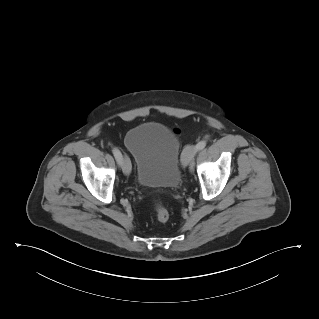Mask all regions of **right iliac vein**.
<instances>
[{
  "label": "right iliac vein",
  "mask_w": 319,
  "mask_h": 319,
  "mask_svg": "<svg viewBox=\"0 0 319 319\" xmlns=\"http://www.w3.org/2000/svg\"><path fill=\"white\" fill-rule=\"evenodd\" d=\"M121 166L125 175H129L131 173V162L127 156L122 157Z\"/></svg>",
  "instance_id": "63e3f726"
}]
</instances>
